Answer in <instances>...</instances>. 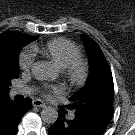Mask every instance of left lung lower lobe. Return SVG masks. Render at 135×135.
<instances>
[{
    "instance_id": "1",
    "label": "left lung lower lobe",
    "mask_w": 135,
    "mask_h": 135,
    "mask_svg": "<svg viewBox=\"0 0 135 135\" xmlns=\"http://www.w3.org/2000/svg\"><path fill=\"white\" fill-rule=\"evenodd\" d=\"M58 119L50 126L49 135H102L111 117L98 113H76L75 118H65V111L58 112Z\"/></svg>"
}]
</instances>
